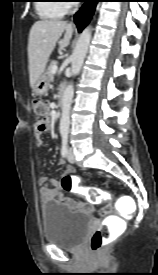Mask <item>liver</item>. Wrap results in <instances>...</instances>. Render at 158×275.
I'll use <instances>...</instances> for the list:
<instances>
[{
  "label": "liver",
  "mask_w": 158,
  "mask_h": 275,
  "mask_svg": "<svg viewBox=\"0 0 158 275\" xmlns=\"http://www.w3.org/2000/svg\"><path fill=\"white\" fill-rule=\"evenodd\" d=\"M65 31L60 50L66 47L73 35L72 24L59 20L36 21L30 30L28 41V60L30 85L44 73L49 57L56 42Z\"/></svg>",
  "instance_id": "obj_1"
}]
</instances>
